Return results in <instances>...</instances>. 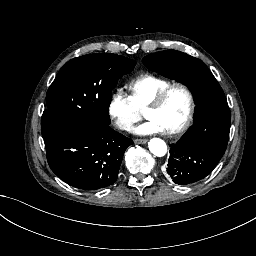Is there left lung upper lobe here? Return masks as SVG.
<instances>
[{
  "instance_id": "left-lung-upper-lobe-1",
  "label": "left lung upper lobe",
  "mask_w": 256,
  "mask_h": 256,
  "mask_svg": "<svg viewBox=\"0 0 256 256\" xmlns=\"http://www.w3.org/2000/svg\"><path fill=\"white\" fill-rule=\"evenodd\" d=\"M143 63L188 86L196 104L195 125L171 145L167 173L207 176L223 156L229 138L231 114L223 90L207 66L186 53L156 52L145 56Z\"/></svg>"
}]
</instances>
